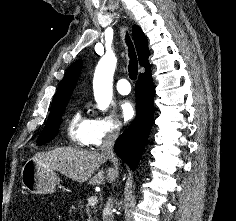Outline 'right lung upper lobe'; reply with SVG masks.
Returning <instances> with one entry per match:
<instances>
[{
    "mask_svg": "<svg viewBox=\"0 0 236 221\" xmlns=\"http://www.w3.org/2000/svg\"><path fill=\"white\" fill-rule=\"evenodd\" d=\"M133 38L138 53L140 65H142L146 71L151 70L148 62L149 50L147 39L138 26L133 27ZM82 69V61L78 60L74 62L66 71L64 78L62 79L57 92L53 97L52 107L68 102L73 90L75 88L77 79ZM51 107V108H52Z\"/></svg>",
    "mask_w": 236,
    "mask_h": 221,
    "instance_id": "right-lung-upper-lobe-1",
    "label": "right lung upper lobe"
}]
</instances>
